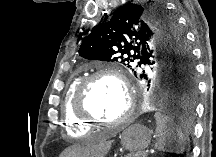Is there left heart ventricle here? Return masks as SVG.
<instances>
[{
    "label": "left heart ventricle",
    "mask_w": 216,
    "mask_h": 157,
    "mask_svg": "<svg viewBox=\"0 0 216 157\" xmlns=\"http://www.w3.org/2000/svg\"><path fill=\"white\" fill-rule=\"evenodd\" d=\"M89 111L98 119L114 122L127 108V100L121 86L109 77L95 80L87 98Z\"/></svg>",
    "instance_id": "left-heart-ventricle-1"
}]
</instances>
